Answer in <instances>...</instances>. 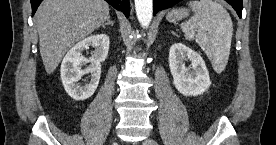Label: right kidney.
Segmentation results:
<instances>
[{
    "label": "right kidney",
    "instance_id": "1",
    "mask_svg": "<svg viewBox=\"0 0 276 145\" xmlns=\"http://www.w3.org/2000/svg\"><path fill=\"white\" fill-rule=\"evenodd\" d=\"M109 37L106 34H96L74 45L65 55L61 64V79L67 94L76 101H84L96 91L101 77V62L105 61L109 50ZM89 46L94 47L89 59L83 57L82 52ZM86 63L90 66L82 70ZM91 73L90 82L80 86L77 82L84 74Z\"/></svg>",
    "mask_w": 276,
    "mask_h": 145
}]
</instances>
